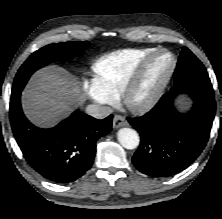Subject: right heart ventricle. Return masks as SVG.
I'll list each match as a JSON object with an SVG mask.
<instances>
[{"label": "right heart ventricle", "mask_w": 222, "mask_h": 219, "mask_svg": "<svg viewBox=\"0 0 222 219\" xmlns=\"http://www.w3.org/2000/svg\"><path fill=\"white\" fill-rule=\"evenodd\" d=\"M155 48H130L105 54L91 65L94 90L109 101H115L145 57Z\"/></svg>", "instance_id": "obj_1"}]
</instances>
